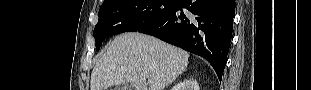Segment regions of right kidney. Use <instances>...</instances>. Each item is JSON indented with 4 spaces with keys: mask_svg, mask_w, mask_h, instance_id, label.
<instances>
[{
    "mask_svg": "<svg viewBox=\"0 0 311 90\" xmlns=\"http://www.w3.org/2000/svg\"><path fill=\"white\" fill-rule=\"evenodd\" d=\"M174 90H199V85L196 80H186L179 83Z\"/></svg>",
    "mask_w": 311,
    "mask_h": 90,
    "instance_id": "ca27d5eb",
    "label": "right kidney"
}]
</instances>
